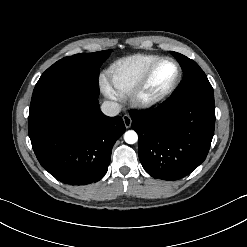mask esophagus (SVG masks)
Instances as JSON below:
<instances>
[{
  "label": "esophagus",
  "mask_w": 247,
  "mask_h": 247,
  "mask_svg": "<svg viewBox=\"0 0 247 247\" xmlns=\"http://www.w3.org/2000/svg\"><path fill=\"white\" fill-rule=\"evenodd\" d=\"M123 121H124V125H125L126 128H130L131 127L132 119L128 114L123 116Z\"/></svg>",
  "instance_id": "esophagus-1"
}]
</instances>
